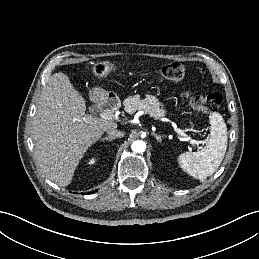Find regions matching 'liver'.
<instances>
[{
  "label": "liver",
  "mask_w": 259,
  "mask_h": 259,
  "mask_svg": "<svg viewBox=\"0 0 259 259\" xmlns=\"http://www.w3.org/2000/svg\"><path fill=\"white\" fill-rule=\"evenodd\" d=\"M86 102L62 73L43 88L33 118L34 155L42 172L61 187L68 186L88 148L108 129L110 120L85 114Z\"/></svg>",
  "instance_id": "liver-1"
}]
</instances>
